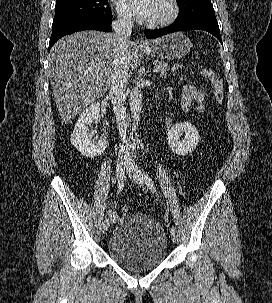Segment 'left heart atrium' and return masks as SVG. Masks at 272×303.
<instances>
[{
	"instance_id": "left-heart-atrium-1",
	"label": "left heart atrium",
	"mask_w": 272,
	"mask_h": 303,
	"mask_svg": "<svg viewBox=\"0 0 272 303\" xmlns=\"http://www.w3.org/2000/svg\"><path fill=\"white\" fill-rule=\"evenodd\" d=\"M155 0H124L125 8L137 19L149 21L153 15Z\"/></svg>"
}]
</instances>
